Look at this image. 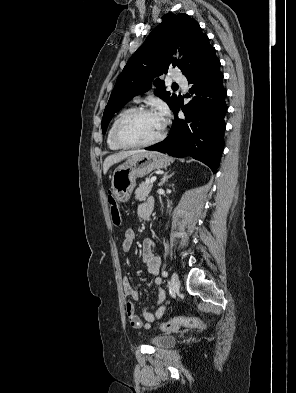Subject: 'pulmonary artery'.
I'll return each instance as SVG.
<instances>
[{
    "label": "pulmonary artery",
    "instance_id": "pulmonary-artery-1",
    "mask_svg": "<svg viewBox=\"0 0 296 393\" xmlns=\"http://www.w3.org/2000/svg\"><path fill=\"white\" fill-rule=\"evenodd\" d=\"M173 80L177 82L179 85H181L184 90L187 88L188 82L183 75L175 74L173 76Z\"/></svg>",
    "mask_w": 296,
    "mask_h": 393
}]
</instances>
